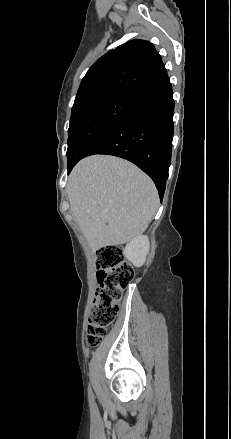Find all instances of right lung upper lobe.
<instances>
[{"label": "right lung upper lobe", "mask_w": 231, "mask_h": 439, "mask_svg": "<svg viewBox=\"0 0 231 439\" xmlns=\"http://www.w3.org/2000/svg\"><path fill=\"white\" fill-rule=\"evenodd\" d=\"M167 76L159 53L149 41L132 40L97 60L83 78L72 108L116 93L135 94Z\"/></svg>", "instance_id": "1"}]
</instances>
